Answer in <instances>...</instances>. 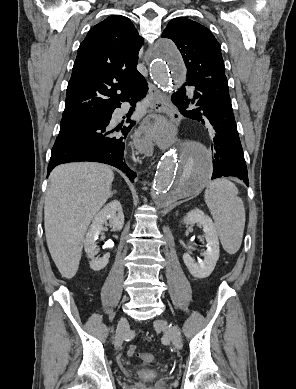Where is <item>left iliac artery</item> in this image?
Masks as SVG:
<instances>
[{
  "label": "left iliac artery",
  "instance_id": "1",
  "mask_svg": "<svg viewBox=\"0 0 296 389\" xmlns=\"http://www.w3.org/2000/svg\"><path fill=\"white\" fill-rule=\"evenodd\" d=\"M171 326V325H170ZM177 332H178V334L180 335V332H179V330L177 329V327L176 326H174L173 327Z\"/></svg>",
  "mask_w": 296,
  "mask_h": 389
}]
</instances>
